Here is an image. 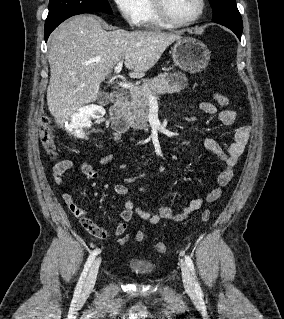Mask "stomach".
<instances>
[{
  "mask_svg": "<svg viewBox=\"0 0 284 319\" xmlns=\"http://www.w3.org/2000/svg\"><path fill=\"white\" fill-rule=\"evenodd\" d=\"M172 57L175 65L182 70L198 73L207 67L210 51L203 42L195 38L181 37L172 48Z\"/></svg>",
  "mask_w": 284,
  "mask_h": 319,
  "instance_id": "0dacf381",
  "label": "stomach"
}]
</instances>
